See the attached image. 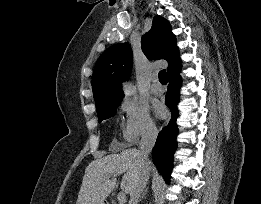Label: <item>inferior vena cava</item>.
I'll return each mask as SVG.
<instances>
[{"label":"inferior vena cava","mask_w":261,"mask_h":204,"mask_svg":"<svg viewBox=\"0 0 261 204\" xmlns=\"http://www.w3.org/2000/svg\"><path fill=\"white\" fill-rule=\"evenodd\" d=\"M157 135L158 130L155 127L149 128L142 135L138 152L143 173L134 191L130 195L129 204H138V200L146 186L150 173V161L148 159V155L152 151Z\"/></svg>","instance_id":"inferior-vena-cava-1"}]
</instances>
